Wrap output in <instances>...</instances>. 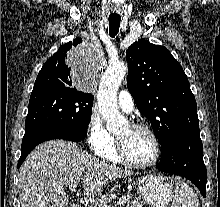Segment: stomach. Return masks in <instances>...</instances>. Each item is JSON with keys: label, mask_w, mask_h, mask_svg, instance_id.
<instances>
[{"label": "stomach", "mask_w": 220, "mask_h": 207, "mask_svg": "<svg viewBox=\"0 0 220 207\" xmlns=\"http://www.w3.org/2000/svg\"><path fill=\"white\" fill-rule=\"evenodd\" d=\"M137 192L151 207H167L172 200V185L159 174H146L134 180Z\"/></svg>", "instance_id": "1"}]
</instances>
